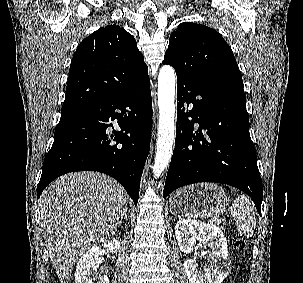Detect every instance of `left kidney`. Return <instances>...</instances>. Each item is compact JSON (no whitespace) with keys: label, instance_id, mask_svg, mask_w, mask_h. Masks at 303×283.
Segmentation results:
<instances>
[{"label":"left kidney","instance_id":"obj_1","mask_svg":"<svg viewBox=\"0 0 303 283\" xmlns=\"http://www.w3.org/2000/svg\"><path fill=\"white\" fill-rule=\"evenodd\" d=\"M175 234L180 250L186 254L193 252L197 241L210 248L211 264L204 271L198 269L194 259L185 261L184 269L189 282L222 283L230 271L227 239L223 232L213 224L183 219L175 225Z\"/></svg>","mask_w":303,"mask_h":283}]
</instances>
